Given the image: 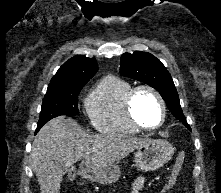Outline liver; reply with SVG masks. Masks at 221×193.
I'll list each match as a JSON object with an SVG mask.
<instances>
[{
    "label": "liver",
    "instance_id": "1",
    "mask_svg": "<svg viewBox=\"0 0 221 193\" xmlns=\"http://www.w3.org/2000/svg\"><path fill=\"white\" fill-rule=\"evenodd\" d=\"M148 141L128 135H90L74 119L60 116L47 122L35 137L31 167L41 193H59L64 174L77 161L110 165Z\"/></svg>",
    "mask_w": 221,
    "mask_h": 193
}]
</instances>
